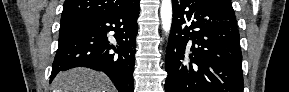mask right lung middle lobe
I'll list each match as a JSON object with an SVG mask.
<instances>
[{
    "instance_id": "dd1d6c3e",
    "label": "right lung middle lobe",
    "mask_w": 289,
    "mask_h": 92,
    "mask_svg": "<svg viewBox=\"0 0 289 92\" xmlns=\"http://www.w3.org/2000/svg\"><path fill=\"white\" fill-rule=\"evenodd\" d=\"M77 27V25H62L60 26V30H59V37L66 35L67 33L73 31L75 28Z\"/></svg>"
}]
</instances>
